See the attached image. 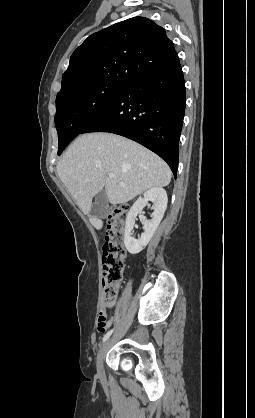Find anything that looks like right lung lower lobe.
I'll return each mask as SVG.
<instances>
[{
	"label": "right lung lower lobe",
	"mask_w": 255,
	"mask_h": 418,
	"mask_svg": "<svg viewBox=\"0 0 255 418\" xmlns=\"http://www.w3.org/2000/svg\"><path fill=\"white\" fill-rule=\"evenodd\" d=\"M185 102L178 60L129 83L80 134L110 132L134 140L165 160L176 178Z\"/></svg>",
	"instance_id": "98d812e1"
}]
</instances>
